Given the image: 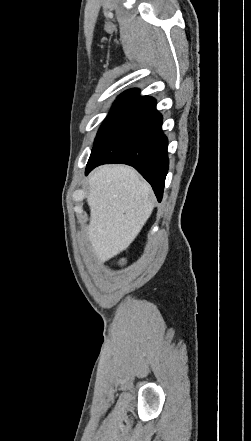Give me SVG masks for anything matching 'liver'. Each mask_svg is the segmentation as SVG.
Returning a JSON list of instances; mask_svg holds the SVG:
<instances>
[{
  "label": "liver",
  "mask_w": 251,
  "mask_h": 441,
  "mask_svg": "<svg viewBox=\"0 0 251 441\" xmlns=\"http://www.w3.org/2000/svg\"><path fill=\"white\" fill-rule=\"evenodd\" d=\"M87 236L101 263L126 250L150 217L154 204L150 185L135 169L104 165L89 176Z\"/></svg>",
  "instance_id": "obj_1"
}]
</instances>
